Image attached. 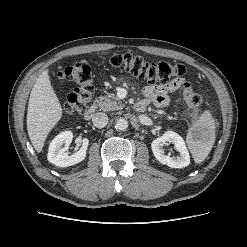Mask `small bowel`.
Wrapping results in <instances>:
<instances>
[{
    "label": "small bowel",
    "mask_w": 247,
    "mask_h": 247,
    "mask_svg": "<svg viewBox=\"0 0 247 247\" xmlns=\"http://www.w3.org/2000/svg\"><path fill=\"white\" fill-rule=\"evenodd\" d=\"M184 82L183 78H176L160 85H147L143 89L145 96L143 102L147 105L154 104L157 107H165L170 103L169 94L182 87Z\"/></svg>",
    "instance_id": "1"
}]
</instances>
